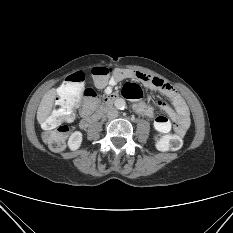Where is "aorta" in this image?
Here are the masks:
<instances>
[{
	"label": "aorta",
	"mask_w": 233,
	"mask_h": 233,
	"mask_svg": "<svg viewBox=\"0 0 233 233\" xmlns=\"http://www.w3.org/2000/svg\"><path fill=\"white\" fill-rule=\"evenodd\" d=\"M115 106L118 108V109H124L125 107V100L122 99V98H119L115 101Z\"/></svg>",
	"instance_id": "obj_1"
}]
</instances>
